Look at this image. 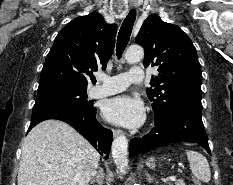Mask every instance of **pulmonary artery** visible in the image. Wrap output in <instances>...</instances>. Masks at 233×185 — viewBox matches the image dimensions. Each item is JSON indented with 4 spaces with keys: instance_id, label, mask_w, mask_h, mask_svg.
<instances>
[{
    "instance_id": "obj_1",
    "label": "pulmonary artery",
    "mask_w": 233,
    "mask_h": 185,
    "mask_svg": "<svg viewBox=\"0 0 233 185\" xmlns=\"http://www.w3.org/2000/svg\"><path fill=\"white\" fill-rule=\"evenodd\" d=\"M97 77L101 84L92 89L93 96H108L125 90L131 83L142 82L144 71L141 67H132L127 72L116 76L110 77L100 73Z\"/></svg>"
}]
</instances>
